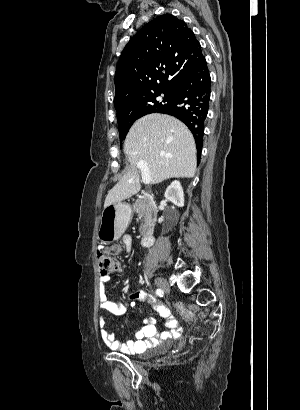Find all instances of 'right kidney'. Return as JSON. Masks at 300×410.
<instances>
[{"label": "right kidney", "mask_w": 300, "mask_h": 410, "mask_svg": "<svg viewBox=\"0 0 300 410\" xmlns=\"http://www.w3.org/2000/svg\"><path fill=\"white\" fill-rule=\"evenodd\" d=\"M166 200L172 202L177 207L184 206V193L179 181H173L166 189L164 194Z\"/></svg>", "instance_id": "ca27d5eb"}]
</instances>
